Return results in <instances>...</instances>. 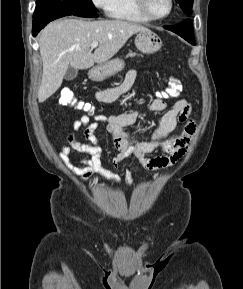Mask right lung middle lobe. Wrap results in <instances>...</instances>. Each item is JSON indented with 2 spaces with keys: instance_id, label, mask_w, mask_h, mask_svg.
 Segmentation results:
<instances>
[{
  "instance_id": "obj_1",
  "label": "right lung middle lobe",
  "mask_w": 243,
  "mask_h": 289,
  "mask_svg": "<svg viewBox=\"0 0 243 289\" xmlns=\"http://www.w3.org/2000/svg\"><path fill=\"white\" fill-rule=\"evenodd\" d=\"M36 9H71L75 11H92L96 12V8L92 0H37Z\"/></svg>"
}]
</instances>
